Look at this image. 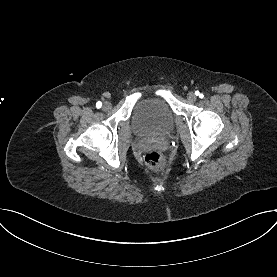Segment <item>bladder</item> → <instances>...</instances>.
Listing matches in <instances>:
<instances>
[{
	"label": "bladder",
	"mask_w": 277,
	"mask_h": 277,
	"mask_svg": "<svg viewBox=\"0 0 277 277\" xmlns=\"http://www.w3.org/2000/svg\"><path fill=\"white\" fill-rule=\"evenodd\" d=\"M175 122L173 111L161 98L139 101L132 115L134 130L142 136H160L169 133Z\"/></svg>",
	"instance_id": "31cf9c89"
}]
</instances>
